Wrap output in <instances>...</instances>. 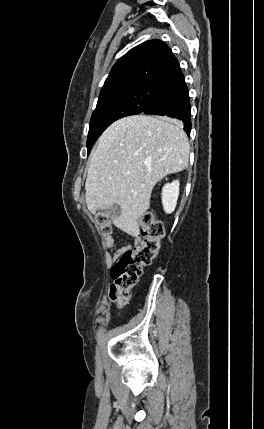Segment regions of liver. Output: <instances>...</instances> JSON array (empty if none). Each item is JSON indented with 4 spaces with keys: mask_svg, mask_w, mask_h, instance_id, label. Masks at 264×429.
Instances as JSON below:
<instances>
[{
    "mask_svg": "<svg viewBox=\"0 0 264 429\" xmlns=\"http://www.w3.org/2000/svg\"><path fill=\"white\" fill-rule=\"evenodd\" d=\"M190 146L182 124L166 117L133 115L100 136L85 183L86 204L96 214L119 206L113 224L138 236L140 216L150 207L156 183L188 166Z\"/></svg>",
    "mask_w": 264,
    "mask_h": 429,
    "instance_id": "1",
    "label": "liver"
}]
</instances>
